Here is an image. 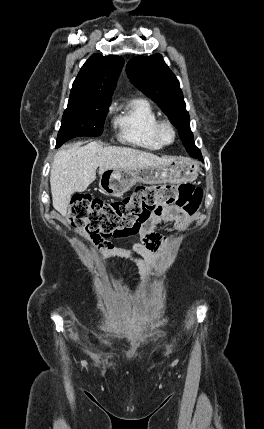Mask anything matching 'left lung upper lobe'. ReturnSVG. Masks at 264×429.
Masks as SVG:
<instances>
[{
	"label": "left lung upper lobe",
	"mask_w": 264,
	"mask_h": 429,
	"mask_svg": "<svg viewBox=\"0 0 264 429\" xmlns=\"http://www.w3.org/2000/svg\"><path fill=\"white\" fill-rule=\"evenodd\" d=\"M130 81L146 96L157 103L178 129L187 152L198 151L190 130V118L186 111L182 90L174 73L160 54L136 56L127 64Z\"/></svg>",
	"instance_id": "5c2ea615"
}]
</instances>
